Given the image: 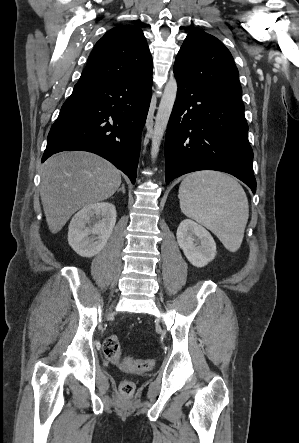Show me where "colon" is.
<instances>
[{
	"label": "colon",
	"mask_w": 299,
	"mask_h": 443,
	"mask_svg": "<svg viewBox=\"0 0 299 443\" xmlns=\"http://www.w3.org/2000/svg\"><path fill=\"white\" fill-rule=\"evenodd\" d=\"M102 351L106 358L119 362L123 368L129 372L142 373L150 370L154 366L153 360H136L130 357L121 359L122 350L117 336L109 335L103 339ZM135 390V384L131 380H124L119 385L120 393L125 397H130Z\"/></svg>",
	"instance_id": "colon-1"
}]
</instances>
